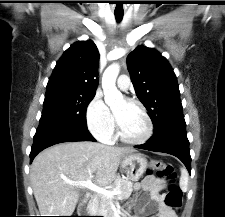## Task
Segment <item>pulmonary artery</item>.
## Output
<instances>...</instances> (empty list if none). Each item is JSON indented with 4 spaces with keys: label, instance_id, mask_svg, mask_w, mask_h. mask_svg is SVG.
<instances>
[{
    "label": "pulmonary artery",
    "instance_id": "obj_1",
    "mask_svg": "<svg viewBox=\"0 0 225 217\" xmlns=\"http://www.w3.org/2000/svg\"><path fill=\"white\" fill-rule=\"evenodd\" d=\"M117 86L121 90H127L130 86V79L127 75H120L117 79Z\"/></svg>",
    "mask_w": 225,
    "mask_h": 217
}]
</instances>
